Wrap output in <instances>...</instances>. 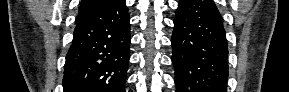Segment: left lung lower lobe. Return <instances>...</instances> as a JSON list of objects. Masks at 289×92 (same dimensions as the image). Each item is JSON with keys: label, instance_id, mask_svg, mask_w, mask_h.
<instances>
[{"label": "left lung lower lobe", "instance_id": "obj_1", "mask_svg": "<svg viewBox=\"0 0 289 92\" xmlns=\"http://www.w3.org/2000/svg\"><path fill=\"white\" fill-rule=\"evenodd\" d=\"M176 92H226L228 44L213 0H180L172 34Z\"/></svg>", "mask_w": 289, "mask_h": 92}]
</instances>
